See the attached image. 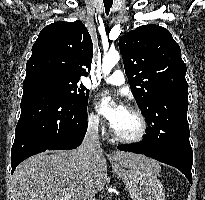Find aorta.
<instances>
[{"mask_svg": "<svg viewBox=\"0 0 205 200\" xmlns=\"http://www.w3.org/2000/svg\"><path fill=\"white\" fill-rule=\"evenodd\" d=\"M120 59V53L117 50H110L103 57L102 72L104 76L109 75L112 68L118 63ZM110 98H106L105 101H109Z\"/></svg>", "mask_w": 205, "mask_h": 200, "instance_id": "1", "label": "aorta"}]
</instances>
